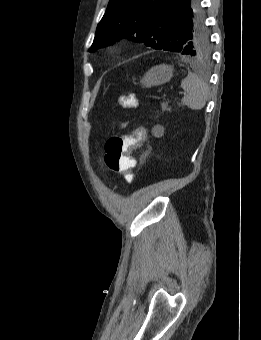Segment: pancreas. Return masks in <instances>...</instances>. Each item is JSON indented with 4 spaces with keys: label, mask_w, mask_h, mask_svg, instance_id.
<instances>
[{
    "label": "pancreas",
    "mask_w": 261,
    "mask_h": 340,
    "mask_svg": "<svg viewBox=\"0 0 261 340\" xmlns=\"http://www.w3.org/2000/svg\"><path fill=\"white\" fill-rule=\"evenodd\" d=\"M162 111H171V108L168 106V102H164L161 104Z\"/></svg>",
    "instance_id": "pancreas-1"
}]
</instances>
